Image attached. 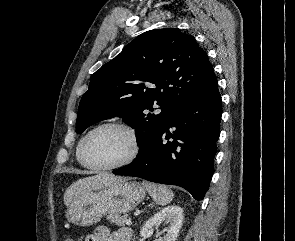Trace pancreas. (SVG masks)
<instances>
[{
    "label": "pancreas",
    "mask_w": 295,
    "mask_h": 241,
    "mask_svg": "<svg viewBox=\"0 0 295 241\" xmlns=\"http://www.w3.org/2000/svg\"><path fill=\"white\" fill-rule=\"evenodd\" d=\"M108 219L112 224L117 226H125V220L127 219L126 216H119L117 214H109Z\"/></svg>",
    "instance_id": "obj_1"
}]
</instances>
